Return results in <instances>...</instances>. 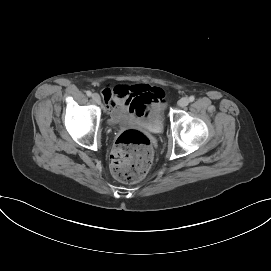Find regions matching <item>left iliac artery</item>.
Returning a JSON list of instances; mask_svg holds the SVG:
<instances>
[{"label":"left iliac artery","mask_w":271,"mask_h":271,"mask_svg":"<svg viewBox=\"0 0 271 271\" xmlns=\"http://www.w3.org/2000/svg\"><path fill=\"white\" fill-rule=\"evenodd\" d=\"M194 100H195V97H194V96H190V97H189V101H190V102H193Z\"/></svg>","instance_id":"left-iliac-artery-1"}]
</instances>
